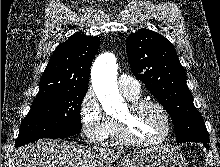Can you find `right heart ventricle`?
Listing matches in <instances>:
<instances>
[{
	"label": "right heart ventricle",
	"instance_id": "e07e8e85",
	"mask_svg": "<svg viewBox=\"0 0 220 167\" xmlns=\"http://www.w3.org/2000/svg\"><path fill=\"white\" fill-rule=\"evenodd\" d=\"M126 96V95H125ZM130 100H136L138 99V96H126ZM109 136L115 141L119 142L118 136H117V124L115 121H112V127Z\"/></svg>",
	"mask_w": 220,
	"mask_h": 167
}]
</instances>
